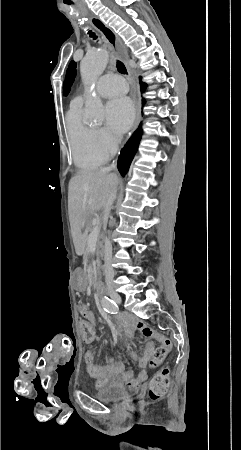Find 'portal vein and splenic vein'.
Wrapping results in <instances>:
<instances>
[{"label": "portal vein and splenic vein", "instance_id": "obj_1", "mask_svg": "<svg viewBox=\"0 0 241 450\" xmlns=\"http://www.w3.org/2000/svg\"><path fill=\"white\" fill-rule=\"evenodd\" d=\"M100 230V224H97V226L93 228L91 234H89L88 242H97Z\"/></svg>", "mask_w": 241, "mask_h": 450}]
</instances>
